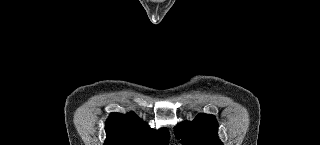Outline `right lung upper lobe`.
I'll use <instances>...</instances> for the list:
<instances>
[{
	"label": "right lung upper lobe",
	"mask_w": 320,
	"mask_h": 145,
	"mask_svg": "<svg viewBox=\"0 0 320 145\" xmlns=\"http://www.w3.org/2000/svg\"><path fill=\"white\" fill-rule=\"evenodd\" d=\"M105 145H166L169 133L166 128L153 131L140 121L135 113H111L106 124Z\"/></svg>",
	"instance_id": "obj_1"
}]
</instances>
